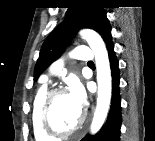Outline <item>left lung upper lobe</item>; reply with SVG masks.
Wrapping results in <instances>:
<instances>
[{
  "label": "left lung upper lobe",
  "mask_w": 155,
  "mask_h": 141,
  "mask_svg": "<svg viewBox=\"0 0 155 141\" xmlns=\"http://www.w3.org/2000/svg\"><path fill=\"white\" fill-rule=\"evenodd\" d=\"M99 0H77L68 7L65 20L44 41L34 68V80L63 52L73 33L81 28L97 31L105 41L111 35V25Z\"/></svg>",
  "instance_id": "5c2ea615"
}]
</instances>
